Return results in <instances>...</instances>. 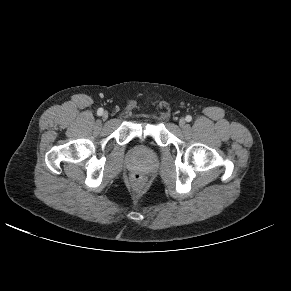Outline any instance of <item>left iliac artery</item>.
Returning a JSON list of instances; mask_svg holds the SVG:
<instances>
[{
	"label": "left iliac artery",
	"mask_w": 291,
	"mask_h": 291,
	"mask_svg": "<svg viewBox=\"0 0 291 291\" xmlns=\"http://www.w3.org/2000/svg\"><path fill=\"white\" fill-rule=\"evenodd\" d=\"M191 120H192V117H191L190 115H187V116H186V121H187V122H190Z\"/></svg>",
	"instance_id": "obj_1"
}]
</instances>
